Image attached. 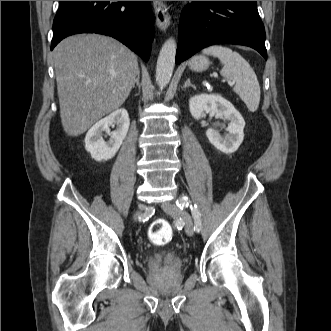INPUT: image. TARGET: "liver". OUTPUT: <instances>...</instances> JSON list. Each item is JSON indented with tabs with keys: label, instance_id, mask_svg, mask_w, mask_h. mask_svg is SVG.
<instances>
[{
	"label": "liver",
	"instance_id": "liver-1",
	"mask_svg": "<svg viewBox=\"0 0 331 331\" xmlns=\"http://www.w3.org/2000/svg\"><path fill=\"white\" fill-rule=\"evenodd\" d=\"M61 123L78 136L125 102L139 74L136 55L117 40L78 34L53 51Z\"/></svg>",
	"mask_w": 331,
	"mask_h": 331
}]
</instances>
